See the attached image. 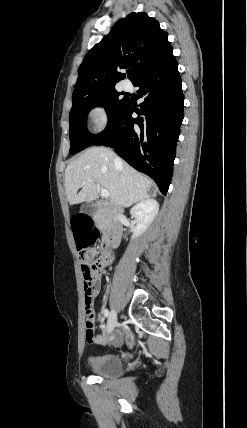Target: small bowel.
<instances>
[{
    "label": "small bowel",
    "mask_w": 247,
    "mask_h": 428,
    "mask_svg": "<svg viewBox=\"0 0 247 428\" xmlns=\"http://www.w3.org/2000/svg\"><path fill=\"white\" fill-rule=\"evenodd\" d=\"M91 255H93V251H91L90 253ZM112 261V255L109 252H106L105 256H104V263L109 264ZM101 289V280L100 278L91 286V290H90V294H89V302L91 303V305L93 306V302L94 299L98 296L99 292ZM85 304H86V298H85ZM87 339V336H86ZM124 339V334L122 332H119L117 334H115L114 336L111 337L110 342L113 344H120ZM88 343L91 344H104L106 343V339L103 335L98 334L94 336V340L93 341H88Z\"/></svg>",
    "instance_id": "small-bowel-1"
}]
</instances>
